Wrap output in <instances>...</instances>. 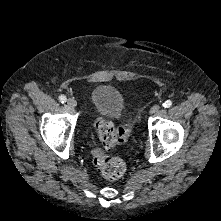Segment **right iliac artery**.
<instances>
[{"instance_id": "obj_1", "label": "right iliac artery", "mask_w": 221, "mask_h": 221, "mask_svg": "<svg viewBox=\"0 0 221 221\" xmlns=\"http://www.w3.org/2000/svg\"><path fill=\"white\" fill-rule=\"evenodd\" d=\"M66 100H67V98H66L65 95H61V96H59V101H60L61 103H65Z\"/></svg>"}]
</instances>
